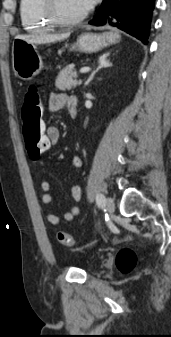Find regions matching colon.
Masks as SVG:
<instances>
[{"label":"colon","mask_w":171,"mask_h":337,"mask_svg":"<svg viewBox=\"0 0 171 337\" xmlns=\"http://www.w3.org/2000/svg\"><path fill=\"white\" fill-rule=\"evenodd\" d=\"M46 106L45 100H40L38 89L31 85L25 93L21 116L23 120V137L26 151L30 158L37 159L42 153L51 146V141L44 135L43 119L44 110L41 107ZM57 241L67 247L75 245L74 238L63 231L56 232ZM137 263V256L130 248L121 249L116 256V265L124 273L130 272Z\"/></svg>","instance_id":"obj_1"}]
</instances>
